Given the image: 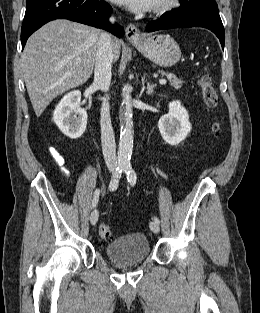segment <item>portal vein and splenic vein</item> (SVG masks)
I'll use <instances>...</instances> for the list:
<instances>
[{
  "instance_id": "1",
  "label": "portal vein and splenic vein",
  "mask_w": 260,
  "mask_h": 313,
  "mask_svg": "<svg viewBox=\"0 0 260 313\" xmlns=\"http://www.w3.org/2000/svg\"><path fill=\"white\" fill-rule=\"evenodd\" d=\"M159 83H160L161 85H164V84H166V80H165V79H161V80L159 81Z\"/></svg>"
}]
</instances>
